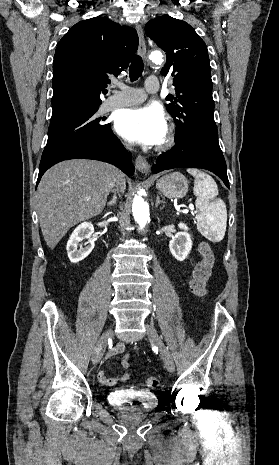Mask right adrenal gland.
<instances>
[{
    "label": "right adrenal gland",
    "mask_w": 279,
    "mask_h": 465,
    "mask_svg": "<svg viewBox=\"0 0 279 465\" xmlns=\"http://www.w3.org/2000/svg\"><path fill=\"white\" fill-rule=\"evenodd\" d=\"M116 200H117V197H116V194H114L112 200L110 202H108L107 206L111 207V206L115 205Z\"/></svg>",
    "instance_id": "1"
}]
</instances>
